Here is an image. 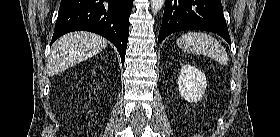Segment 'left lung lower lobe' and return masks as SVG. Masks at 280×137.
<instances>
[{
    "label": "left lung lower lobe",
    "instance_id": "0a47b994",
    "mask_svg": "<svg viewBox=\"0 0 280 137\" xmlns=\"http://www.w3.org/2000/svg\"><path fill=\"white\" fill-rule=\"evenodd\" d=\"M193 29L216 33L231 44L221 0H166L158 44L171 33Z\"/></svg>",
    "mask_w": 280,
    "mask_h": 137
}]
</instances>
